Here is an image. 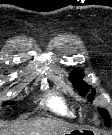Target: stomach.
Instances as JSON below:
<instances>
[{
  "label": "stomach",
  "instance_id": "1",
  "mask_svg": "<svg viewBox=\"0 0 112 135\" xmlns=\"http://www.w3.org/2000/svg\"><path fill=\"white\" fill-rule=\"evenodd\" d=\"M66 134H71V135H95L96 133L91 131V130H85L82 128H77V129H72Z\"/></svg>",
  "mask_w": 112,
  "mask_h": 135
}]
</instances>
